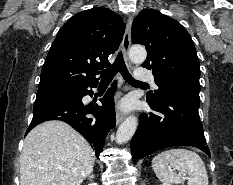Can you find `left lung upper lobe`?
Listing matches in <instances>:
<instances>
[{
	"mask_svg": "<svg viewBox=\"0 0 233 185\" xmlns=\"http://www.w3.org/2000/svg\"><path fill=\"white\" fill-rule=\"evenodd\" d=\"M132 42L147 49L142 64L152 69L159 87L147 95V101L160 104L179 87L200 88L199 59L191 36L176 20L158 10H142L132 24Z\"/></svg>",
	"mask_w": 233,
	"mask_h": 185,
	"instance_id": "5c2ea615",
	"label": "left lung upper lobe"
}]
</instances>
